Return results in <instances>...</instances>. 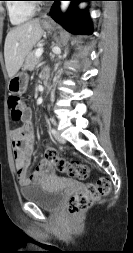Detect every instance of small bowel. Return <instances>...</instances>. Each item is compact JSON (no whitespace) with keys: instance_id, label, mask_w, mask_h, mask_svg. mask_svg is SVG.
<instances>
[{"instance_id":"c3829d8e","label":"small bowel","mask_w":133,"mask_h":253,"mask_svg":"<svg viewBox=\"0 0 133 253\" xmlns=\"http://www.w3.org/2000/svg\"><path fill=\"white\" fill-rule=\"evenodd\" d=\"M11 139L16 176L22 186L42 182L54 174L53 167L45 160L38 164L32 174H28L34 147V129L30 109H26L23 125L12 131Z\"/></svg>"}]
</instances>
